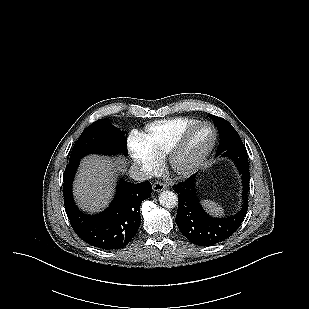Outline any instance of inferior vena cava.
<instances>
[{"instance_id": "602c4592", "label": "inferior vena cava", "mask_w": 309, "mask_h": 309, "mask_svg": "<svg viewBox=\"0 0 309 309\" xmlns=\"http://www.w3.org/2000/svg\"><path fill=\"white\" fill-rule=\"evenodd\" d=\"M130 177L137 181H145L148 180L151 176L148 172L143 170L142 168L138 166H132L129 170Z\"/></svg>"}]
</instances>
